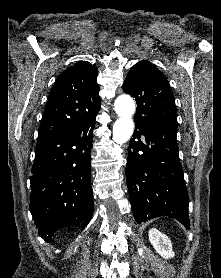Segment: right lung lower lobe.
<instances>
[{
  "label": "right lung lower lobe",
  "instance_id": "98d812e1",
  "mask_svg": "<svg viewBox=\"0 0 221 278\" xmlns=\"http://www.w3.org/2000/svg\"><path fill=\"white\" fill-rule=\"evenodd\" d=\"M95 117L36 146L30 212L39 235L47 242L64 227L83 230L92 218L90 165Z\"/></svg>",
  "mask_w": 221,
  "mask_h": 278
}]
</instances>
